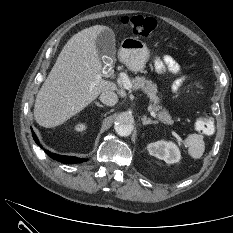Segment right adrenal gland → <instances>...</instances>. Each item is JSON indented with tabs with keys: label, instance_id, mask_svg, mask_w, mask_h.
Returning a JSON list of instances; mask_svg holds the SVG:
<instances>
[{
	"label": "right adrenal gland",
	"instance_id": "1",
	"mask_svg": "<svg viewBox=\"0 0 233 233\" xmlns=\"http://www.w3.org/2000/svg\"><path fill=\"white\" fill-rule=\"evenodd\" d=\"M94 104H95L96 106H98L99 108H103V107H104L102 104H100V103L97 102V101H95Z\"/></svg>",
	"mask_w": 233,
	"mask_h": 233
}]
</instances>
